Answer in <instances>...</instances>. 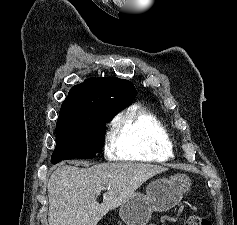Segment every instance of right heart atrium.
Wrapping results in <instances>:
<instances>
[{
  "label": "right heart atrium",
  "instance_id": "right-heart-atrium-1",
  "mask_svg": "<svg viewBox=\"0 0 237 225\" xmlns=\"http://www.w3.org/2000/svg\"><path fill=\"white\" fill-rule=\"evenodd\" d=\"M104 150H105V154L108 157H113V154H114V139H113V135L111 133H107V135H106Z\"/></svg>",
  "mask_w": 237,
  "mask_h": 225
}]
</instances>
